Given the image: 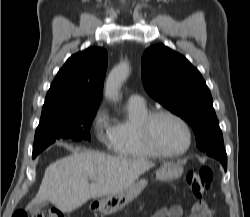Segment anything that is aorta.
Returning <instances> with one entry per match:
<instances>
[{
  "mask_svg": "<svg viewBox=\"0 0 250 217\" xmlns=\"http://www.w3.org/2000/svg\"><path fill=\"white\" fill-rule=\"evenodd\" d=\"M130 72L129 64L124 61L115 66L109 73L105 84V96L110 100H118L119 89Z\"/></svg>",
  "mask_w": 250,
  "mask_h": 217,
  "instance_id": "1",
  "label": "aorta"
}]
</instances>
